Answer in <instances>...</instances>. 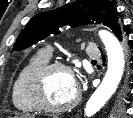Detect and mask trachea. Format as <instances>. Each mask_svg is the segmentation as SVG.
<instances>
[{
    "label": "trachea",
    "instance_id": "obj_1",
    "mask_svg": "<svg viewBox=\"0 0 133 118\" xmlns=\"http://www.w3.org/2000/svg\"><path fill=\"white\" fill-rule=\"evenodd\" d=\"M92 63H96V61L95 60H92Z\"/></svg>",
    "mask_w": 133,
    "mask_h": 118
}]
</instances>
